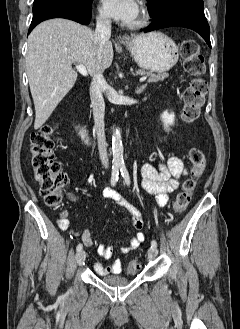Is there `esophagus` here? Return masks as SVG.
Listing matches in <instances>:
<instances>
[{
    "label": "esophagus",
    "mask_w": 240,
    "mask_h": 329,
    "mask_svg": "<svg viewBox=\"0 0 240 329\" xmlns=\"http://www.w3.org/2000/svg\"><path fill=\"white\" fill-rule=\"evenodd\" d=\"M118 40L122 45H126V44H128L130 37L129 36H120L118 38Z\"/></svg>",
    "instance_id": "1"
}]
</instances>
